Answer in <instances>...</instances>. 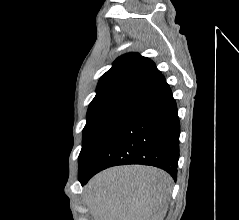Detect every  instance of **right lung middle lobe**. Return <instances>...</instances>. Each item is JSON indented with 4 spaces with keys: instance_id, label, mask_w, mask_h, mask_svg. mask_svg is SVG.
<instances>
[{
    "instance_id": "1",
    "label": "right lung middle lobe",
    "mask_w": 239,
    "mask_h": 220,
    "mask_svg": "<svg viewBox=\"0 0 239 220\" xmlns=\"http://www.w3.org/2000/svg\"><path fill=\"white\" fill-rule=\"evenodd\" d=\"M131 106H118L87 116V123L83 129L82 149L78 158L79 178L91 170Z\"/></svg>"
}]
</instances>
